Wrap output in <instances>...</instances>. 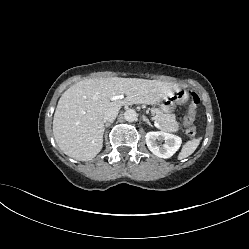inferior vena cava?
I'll return each mask as SVG.
<instances>
[{
	"instance_id": "obj_1",
	"label": "inferior vena cava",
	"mask_w": 249,
	"mask_h": 249,
	"mask_svg": "<svg viewBox=\"0 0 249 249\" xmlns=\"http://www.w3.org/2000/svg\"><path fill=\"white\" fill-rule=\"evenodd\" d=\"M118 111H119L118 108H112V109L107 110L104 115V121L113 122L116 119Z\"/></svg>"
}]
</instances>
